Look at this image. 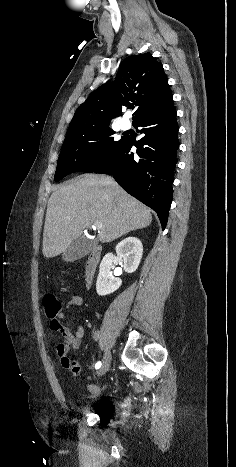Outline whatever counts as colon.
<instances>
[{"label": "colon", "instance_id": "colon-1", "mask_svg": "<svg viewBox=\"0 0 236 467\" xmlns=\"http://www.w3.org/2000/svg\"><path fill=\"white\" fill-rule=\"evenodd\" d=\"M45 313L48 317H54L61 312L62 303L54 294L47 293L42 297Z\"/></svg>", "mask_w": 236, "mask_h": 467}]
</instances>
